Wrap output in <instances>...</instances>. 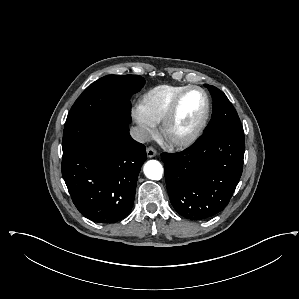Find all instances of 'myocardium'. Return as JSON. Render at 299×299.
I'll return each mask as SVG.
<instances>
[{
  "label": "myocardium",
  "mask_w": 299,
  "mask_h": 299,
  "mask_svg": "<svg viewBox=\"0 0 299 299\" xmlns=\"http://www.w3.org/2000/svg\"><path fill=\"white\" fill-rule=\"evenodd\" d=\"M191 91H199L204 98V111L195 127L183 136H174L172 133L173 125L177 117L183 98ZM210 114V98L207 92L199 86H187L180 91L172 101L163 121L162 135L165 142L174 148H185L193 144L204 131Z\"/></svg>",
  "instance_id": "1"
}]
</instances>
